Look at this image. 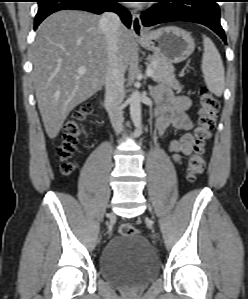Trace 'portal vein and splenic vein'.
I'll return each instance as SVG.
<instances>
[{
    "label": "portal vein and splenic vein",
    "instance_id": "1",
    "mask_svg": "<svg viewBox=\"0 0 248 299\" xmlns=\"http://www.w3.org/2000/svg\"><path fill=\"white\" fill-rule=\"evenodd\" d=\"M80 73H84L85 72V69L82 67L80 68L79 70ZM146 75L148 77H151L153 75V69L151 67H148L147 70H146Z\"/></svg>",
    "mask_w": 248,
    "mask_h": 299
}]
</instances>
